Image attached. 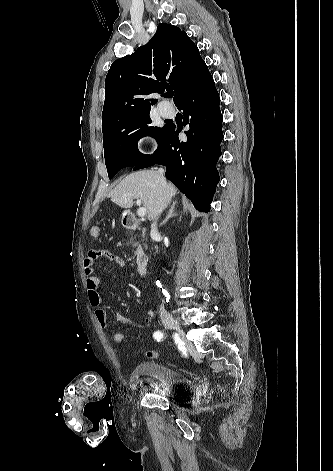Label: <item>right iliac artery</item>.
Here are the masks:
<instances>
[{"instance_id": "82829eb1", "label": "right iliac artery", "mask_w": 333, "mask_h": 471, "mask_svg": "<svg viewBox=\"0 0 333 471\" xmlns=\"http://www.w3.org/2000/svg\"><path fill=\"white\" fill-rule=\"evenodd\" d=\"M154 339L160 341L163 338V333L161 331H156L153 334Z\"/></svg>"}]
</instances>
